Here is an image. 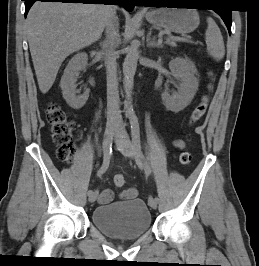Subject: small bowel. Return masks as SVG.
<instances>
[{
  "label": "small bowel",
  "mask_w": 259,
  "mask_h": 266,
  "mask_svg": "<svg viewBox=\"0 0 259 266\" xmlns=\"http://www.w3.org/2000/svg\"><path fill=\"white\" fill-rule=\"evenodd\" d=\"M174 146L177 147L178 149H182L184 147L183 140L180 139L175 140ZM121 197L123 199H134L137 197V190L133 187H129L121 193ZM112 199H113V192L110 189H105L101 191L98 196V202L101 204H107L111 202Z\"/></svg>",
  "instance_id": "small-bowel-1"
}]
</instances>
